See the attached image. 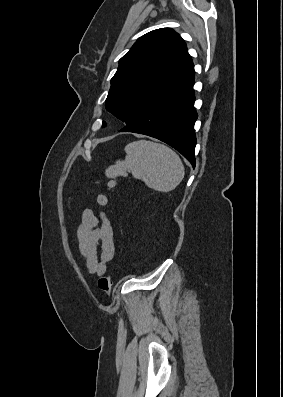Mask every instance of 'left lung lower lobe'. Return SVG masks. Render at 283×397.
Instances as JSON below:
<instances>
[{"label": "left lung lower lobe", "mask_w": 283, "mask_h": 397, "mask_svg": "<svg viewBox=\"0 0 283 397\" xmlns=\"http://www.w3.org/2000/svg\"><path fill=\"white\" fill-rule=\"evenodd\" d=\"M194 78L158 100L120 132H134L157 138L179 151L195 167Z\"/></svg>", "instance_id": "obj_1"}]
</instances>
